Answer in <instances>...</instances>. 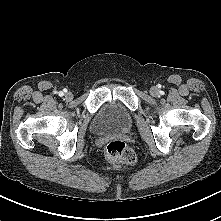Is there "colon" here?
Listing matches in <instances>:
<instances>
[{"label":"colon","mask_w":221,"mask_h":221,"mask_svg":"<svg viewBox=\"0 0 221 221\" xmlns=\"http://www.w3.org/2000/svg\"><path fill=\"white\" fill-rule=\"evenodd\" d=\"M109 160L123 165H132L136 161L134 151L120 140L110 142L105 150Z\"/></svg>","instance_id":"1"}]
</instances>
